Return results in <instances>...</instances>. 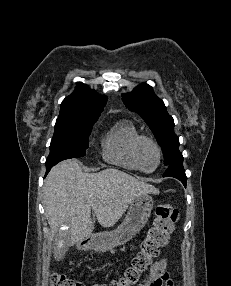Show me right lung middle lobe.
I'll use <instances>...</instances> for the list:
<instances>
[{"mask_svg":"<svg viewBox=\"0 0 231 286\" xmlns=\"http://www.w3.org/2000/svg\"><path fill=\"white\" fill-rule=\"evenodd\" d=\"M100 114H60L50 144L46 164L82 157L89 145V135Z\"/></svg>","mask_w":231,"mask_h":286,"instance_id":"obj_1","label":"right lung middle lobe"}]
</instances>
